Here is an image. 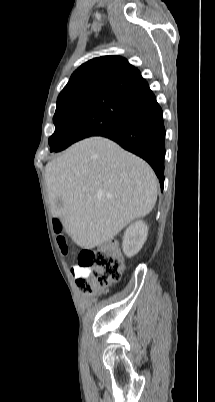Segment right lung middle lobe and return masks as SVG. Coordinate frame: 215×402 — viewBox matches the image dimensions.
Here are the masks:
<instances>
[{"label":"right lung middle lobe","mask_w":215,"mask_h":402,"mask_svg":"<svg viewBox=\"0 0 215 402\" xmlns=\"http://www.w3.org/2000/svg\"><path fill=\"white\" fill-rule=\"evenodd\" d=\"M141 106L106 93L58 98L53 117L55 132L49 138L50 151L58 152L84 138L110 133L127 122Z\"/></svg>","instance_id":"right-lung-middle-lobe-1"}]
</instances>
